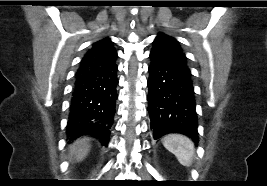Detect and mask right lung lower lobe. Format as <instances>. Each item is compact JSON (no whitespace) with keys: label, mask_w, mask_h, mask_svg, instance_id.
<instances>
[{"label":"right lung lower lobe","mask_w":267,"mask_h":186,"mask_svg":"<svg viewBox=\"0 0 267 186\" xmlns=\"http://www.w3.org/2000/svg\"><path fill=\"white\" fill-rule=\"evenodd\" d=\"M117 71L114 61L76 73L66 131L70 139L91 135L107 145L117 99Z\"/></svg>","instance_id":"98d812e1"}]
</instances>
